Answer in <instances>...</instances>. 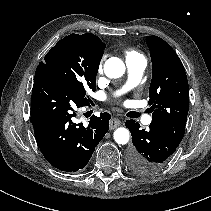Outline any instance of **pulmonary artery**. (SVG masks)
Returning a JSON list of instances; mask_svg holds the SVG:
<instances>
[{"label":"pulmonary artery","mask_w":211,"mask_h":211,"mask_svg":"<svg viewBox=\"0 0 211 211\" xmlns=\"http://www.w3.org/2000/svg\"><path fill=\"white\" fill-rule=\"evenodd\" d=\"M125 62L129 73V85H135L141 79L146 68V59L142 55H135L126 58ZM150 122L151 118L147 116L144 123L148 125Z\"/></svg>","instance_id":"1"}]
</instances>
